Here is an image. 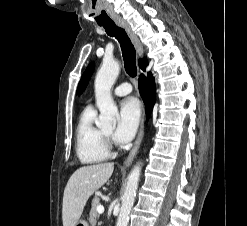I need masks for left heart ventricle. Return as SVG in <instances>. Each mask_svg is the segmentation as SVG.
Segmentation results:
<instances>
[{
    "label": "left heart ventricle",
    "instance_id": "left-heart-ventricle-1",
    "mask_svg": "<svg viewBox=\"0 0 247 226\" xmlns=\"http://www.w3.org/2000/svg\"><path fill=\"white\" fill-rule=\"evenodd\" d=\"M106 133H107V134H110V133H111V131H106Z\"/></svg>",
    "mask_w": 247,
    "mask_h": 226
}]
</instances>
